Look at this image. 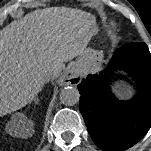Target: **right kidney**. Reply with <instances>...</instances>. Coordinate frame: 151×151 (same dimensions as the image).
Segmentation results:
<instances>
[{
    "label": "right kidney",
    "mask_w": 151,
    "mask_h": 151,
    "mask_svg": "<svg viewBox=\"0 0 151 151\" xmlns=\"http://www.w3.org/2000/svg\"><path fill=\"white\" fill-rule=\"evenodd\" d=\"M12 122H13V123H16V122L24 123V120H23V119L20 117V115L17 113V114H15V115L13 116ZM28 126H29V125L25 126V133H24L25 136H26V132L28 131ZM21 130H22V128H21L19 131H21Z\"/></svg>",
    "instance_id": "1"
}]
</instances>
